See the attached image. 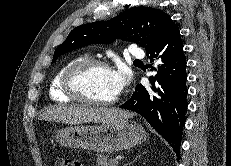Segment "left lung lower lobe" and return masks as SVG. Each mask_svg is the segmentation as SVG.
Here are the masks:
<instances>
[{"label": "left lung lower lobe", "instance_id": "obj_1", "mask_svg": "<svg viewBox=\"0 0 231 166\" xmlns=\"http://www.w3.org/2000/svg\"><path fill=\"white\" fill-rule=\"evenodd\" d=\"M157 73L149 78L151 86H136L132 97L120 108L134 111L170 144L179 156L187 108V74L183 43L177 26L147 52Z\"/></svg>", "mask_w": 231, "mask_h": 166}]
</instances>
